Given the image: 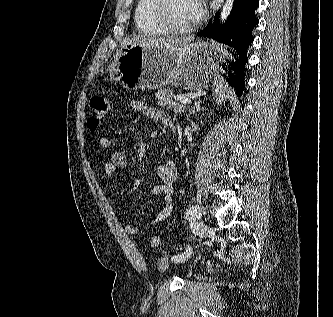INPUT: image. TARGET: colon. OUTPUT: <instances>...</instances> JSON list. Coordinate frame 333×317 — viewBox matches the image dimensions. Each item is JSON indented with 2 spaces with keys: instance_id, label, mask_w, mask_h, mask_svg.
Instances as JSON below:
<instances>
[{
  "instance_id": "obj_1",
  "label": "colon",
  "mask_w": 333,
  "mask_h": 317,
  "mask_svg": "<svg viewBox=\"0 0 333 317\" xmlns=\"http://www.w3.org/2000/svg\"><path fill=\"white\" fill-rule=\"evenodd\" d=\"M90 113H89V118H88V128L91 131H96L102 120L105 118L107 115V112L109 110V102L107 98L103 96H93L90 99ZM161 242V239L159 236L155 235L151 239V244L152 246H158Z\"/></svg>"
}]
</instances>
